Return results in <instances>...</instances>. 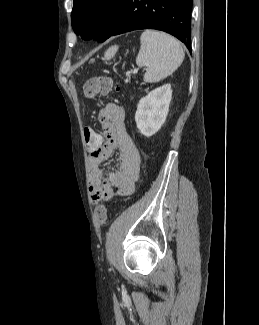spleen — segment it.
Masks as SVG:
<instances>
[{
  "instance_id": "spleen-1",
  "label": "spleen",
  "mask_w": 259,
  "mask_h": 325,
  "mask_svg": "<svg viewBox=\"0 0 259 325\" xmlns=\"http://www.w3.org/2000/svg\"><path fill=\"white\" fill-rule=\"evenodd\" d=\"M140 50L136 57L139 67L146 66V83L159 82L171 75L183 62L184 51L173 36L156 30H145L140 37Z\"/></svg>"
}]
</instances>
